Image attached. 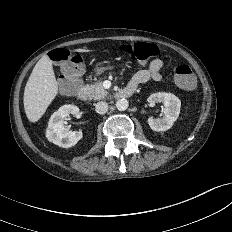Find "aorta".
Listing matches in <instances>:
<instances>
[{
	"label": "aorta",
	"mask_w": 232,
	"mask_h": 232,
	"mask_svg": "<svg viewBox=\"0 0 232 232\" xmlns=\"http://www.w3.org/2000/svg\"><path fill=\"white\" fill-rule=\"evenodd\" d=\"M129 106V102L126 100V99H119L117 100L116 102V108L119 110V111H125Z\"/></svg>",
	"instance_id": "762f6f07"
}]
</instances>
